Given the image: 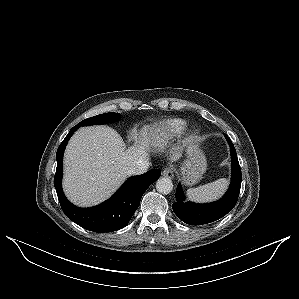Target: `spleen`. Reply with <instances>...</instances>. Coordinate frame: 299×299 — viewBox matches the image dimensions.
Wrapping results in <instances>:
<instances>
[{
    "label": "spleen",
    "instance_id": "spleen-1",
    "mask_svg": "<svg viewBox=\"0 0 299 299\" xmlns=\"http://www.w3.org/2000/svg\"><path fill=\"white\" fill-rule=\"evenodd\" d=\"M227 187L228 179L221 178L197 188H190L187 190L186 195L190 201L198 203L211 202L220 198Z\"/></svg>",
    "mask_w": 299,
    "mask_h": 299
}]
</instances>
